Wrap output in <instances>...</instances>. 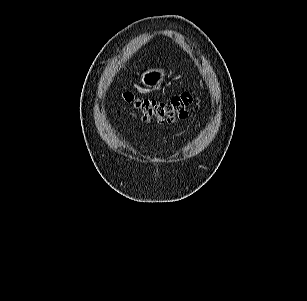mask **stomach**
Listing matches in <instances>:
<instances>
[{
    "mask_svg": "<svg viewBox=\"0 0 307 301\" xmlns=\"http://www.w3.org/2000/svg\"><path fill=\"white\" fill-rule=\"evenodd\" d=\"M164 76V70L150 69L141 75L140 82L147 88H155L161 84Z\"/></svg>",
    "mask_w": 307,
    "mask_h": 301,
    "instance_id": "obj_1",
    "label": "stomach"
}]
</instances>
